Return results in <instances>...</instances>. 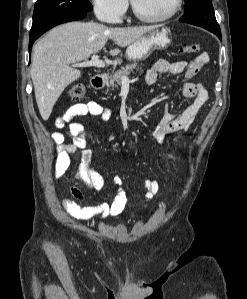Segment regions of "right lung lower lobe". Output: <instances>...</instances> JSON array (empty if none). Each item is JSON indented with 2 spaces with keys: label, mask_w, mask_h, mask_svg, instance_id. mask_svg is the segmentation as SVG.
Here are the masks:
<instances>
[{
  "label": "right lung lower lobe",
  "mask_w": 247,
  "mask_h": 299,
  "mask_svg": "<svg viewBox=\"0 0 247 299\" xmlns=\"http://www.w3.org/2000/svg\"><path fill=\"white\" fill-rule=\"evenodd\" d=\"M85 16H86V12L71 13V14L65 15V16H63L59 19H56V20L50 22L48 25L41 28L38 32H36L34 34H30L29 51H31V48H32V45H33L34 41L37 38H39L43 33H45L47 30H49L50 28H52V27H54L58 24L64 23V22L82 19Z\"/></svg>",
  "instance_id": "1"
}]
</instances>
